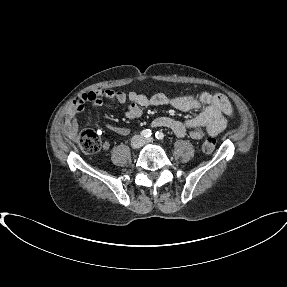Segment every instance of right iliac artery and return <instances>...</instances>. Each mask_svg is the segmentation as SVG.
Masks as SVG:
<instances>
[{
  "label": "right iliac artery",
  "mask_w": 287,
  "mask_h": 287,
  "mask_svg": "<svg viewBox=\"0 0 287 287\" xmlns=\"http://www.w3.org/2000/svg\"><path fill=\"white\" fill-rule=\"evenodd\" d=\"M152 135V131L150 129H144L142 132H141V136L142 137H145V138H148Z\"/></svg>",
  "instance_id": "1"
}]
</instances>
